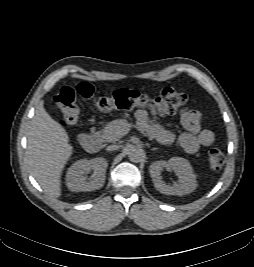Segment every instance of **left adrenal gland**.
I'll use <instances>...</instances> for the list:
<instances>
[{
  "instance_id": "a2214340",
  "label": "left adrenal gland",
  "mask_w": 254,
  "mask_h": 267,
  "mask_svg": "<svg viewBox=\"0 0 254 267\" xmlns=\"http://www.w3.org/2000/svg\"><path fill=\"white\" fill-rule=\"evenodd\" d=\"M151 150H152V151H154V150H158V148H152Z\"/></svg>"
}]
</instances>
